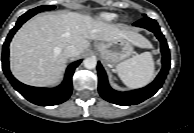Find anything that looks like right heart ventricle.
I'll return each mask as SVG.
<instances>
[{"label":"right heart ventricle","instance_id":"right-heart-ventricle-1","mask_svg":"<svg viewBox=\"0 0 194 133\" xmlns=\"http://www.w3.org/2000/svg\"><path fill=\"white\" fill-rule=\"evenodd\" d=\"M117 18V14L115 13H102L100 15V19L106 22L114 21Z\"/></svg>","mask_w":194,"mask_h":133}]
</instances>
